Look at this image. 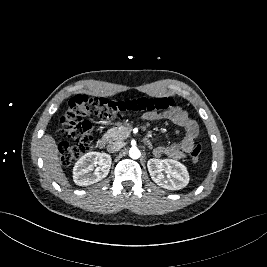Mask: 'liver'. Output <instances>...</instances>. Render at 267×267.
Masks as SVG:
<instances>
[{"label":"liver","mask_w":267,"mask_h":267,"mask_svg":"<svg viewBox=\"0 0 267 267\" xmlns=\"http://www.w3.org/2000/svg\"><path fill=\"white\" fill-rule=\"evenodd\" d=\"M42 158L44 167L52 179L64 187H70V183L65 176L60 165L59 151L55 139L46 134L42 138Z\"/></svg>","instance_id":"1"}]
</instances>
